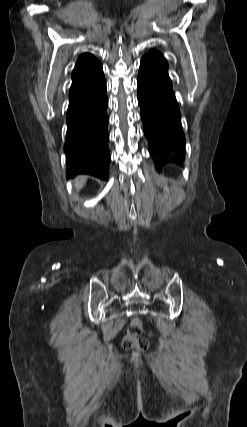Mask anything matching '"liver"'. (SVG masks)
<instances>
[{
  "mask_svg": "<svg viewBox=\"0 0 247 427\" xmlns=\"http://www.w3.org/2000/svg\"><path fill=\"white\" fill-rule=\"evenodd\" d=\"M86 182V177L85 176H80L77 177L74 181V185L75 187L79 190L83 187L84 183Z\"/></svg>",
  "mask_w": 247,
  "mask_h": 427,
  "instance_id": "liver-1",
  "label": "liver"
}]
</instances>
